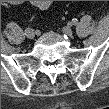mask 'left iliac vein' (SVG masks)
Instances as JSON below:
<instances>
[{
  "label": "left iliac vein",
  "instance_id": "1",
  "mask_svg": "<svg viewBox=\"0 0 109 109\" xmlns=\"http://www.w3.org/2000/svg\"><path fill=\"white\" fill-rule=\"evenodd\" d=\"M62 31H63V33L66 34L67 36H72V34H73V31H72L71 27H69V26L63 27V28H62Z\"/></svg>",
  "mask_w": 109,
  "mask_h": 109
}]
</instances>
